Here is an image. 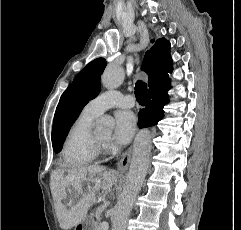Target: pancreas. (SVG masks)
<instances>
[{
  "instance_id": "cf45deb5",
  "label": "pancreas",
  "mask_w": 241,
  "mask_h": 230,
  "mask_svg": "<svg viewBox=\"0 0 241 230\" xmlns=\"http://www.w3.org/2000/svg\"><path fill=\"white\" fill-rule=\"evenodd\" d=\"M94 230H102L101 224L100 223H95Z\"/></svg>"
}]
</instances>
